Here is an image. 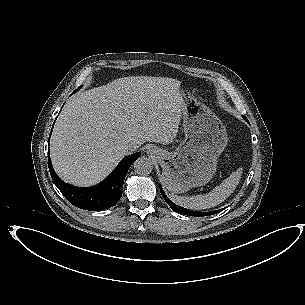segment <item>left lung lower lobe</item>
Wrapping results in <instances>:
<instances>
[{
  "mask_svg": "<svg viewBox=\"0 0 305 305\" xmlns=\"http://www.w3.org/2000/svg\"><path fill=\"white\" fill-rule=\"evenodd\" d=\"M160 192L164 198V200L168 203V205L172 208V210H176V207H178L177 205H175L173 202H171L168 197L165 195L162 187H160ZM221 210H217V211H212V212H203V216H209V215H213V214H216L218 212H220ZM202 216V217H203Z\"/></svg>",
  "mask_w": 305,
  "mask_h": 305,
  "instance_id": "left-lung-lower-lobe-1",
  "label": "left lung lower lobe"
}]
</instances>
